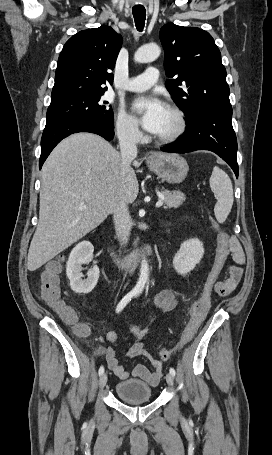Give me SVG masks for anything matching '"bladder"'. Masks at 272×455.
<instances>
[{
	"mask_svg": "<svg viewBox=\"0 0 272 455\" xmlns=\"http://www.w3.org/2000/svg\"><path fill=\"white\" fill-rule=\"evenodd\" d=\"M118 398L128 404H143L152 399L151 387L138 379L120 381L115 386Z\"/></svg>",
	"mask_w": 272,
	"mask_h": 455,
	"instance_id": "bladder-1",
	"label": "bladder"
}]
</instances>
